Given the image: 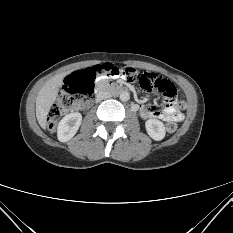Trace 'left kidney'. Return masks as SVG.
<instances>
[{
  "label": "left kidney",
  "instance_id": "left-kidney-1",
  "mask_svg": "<svg viewBox=\"0 0 233 233\" xmlns=\"http://www.w3.org/2000/svg\"><path fill=\"white\" fill-rule=\"evenodd\" d=\"M145 127L148 135L152 139L160 141L165 137L166 131L163 122L157 119H149L146 121Z\"/></svg>",
  "mask_w": 233,
  "mask_h": 233
}]
</instances>
